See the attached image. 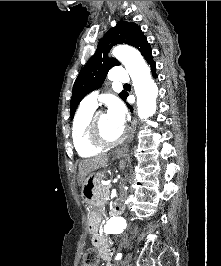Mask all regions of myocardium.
<instances>
[{
  "label": "myocardium",
  "mask_w": 221,
  "mask_h": 266,
  "mask_svg": "<svg viewBox=\"0 0 221 266\" xmlns=\"http://www.w3.org/2000/svg\"><path fill=\"white\" fill-rule=\"evenodd\" d=\"M104 114L103 111H96L92 114L88 123V139L91 144L100 148H109L120 144L126 137V131L122 129L120 135L114 140H107L101 134L99 128V116Z\"/></svg>",
  "instance_id": "myocardium-1"
}]
</instances>
